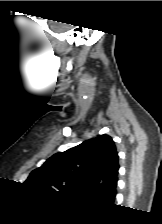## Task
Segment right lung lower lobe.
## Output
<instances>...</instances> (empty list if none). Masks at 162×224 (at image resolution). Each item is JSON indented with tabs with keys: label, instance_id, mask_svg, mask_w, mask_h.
<instances>
[{
	"label": "right lung lower lobe",
	"instance_id": "obj_1",
	"mask_svg": "<svg viewBox=\"0 0 162 224\" xmlns=\"http://www.w3.org/2000/svg\"><path fill=\"white\" fill-rule=\"evenodd\" d=\"M114 199H115V197H113V198L111 199V202H113V201H114Z\"/></svg>",
	"mask_w": 162,
	"mask_h": 224
}]
</instances>
